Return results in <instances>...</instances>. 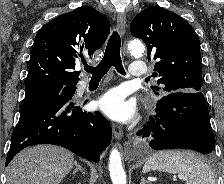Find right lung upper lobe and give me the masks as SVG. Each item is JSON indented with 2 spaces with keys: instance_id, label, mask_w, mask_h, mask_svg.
<instances>
[{
  "instance_id": "1",
  "label": "right lung upper lobe",
  "mask_w": 224,
  "mask_h": 184,
  "mask_svg": "<svg viewBox=\"0 0 224 184\" xmlns=\"http://www.w3.org/2000/svg\"><path fill=\"white\" fill-rule=\"evenodd\" d=\"M109 20L96 9L79 7L46 23L37 33L25 86L77 85L75 62L91 56L107 39Z\"/></svg>"
}]
</instances>
